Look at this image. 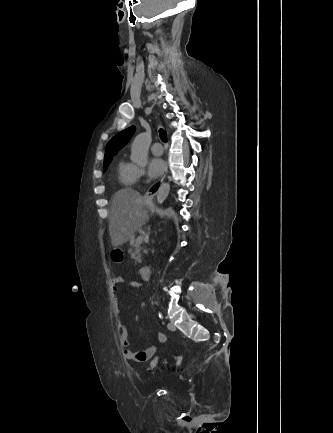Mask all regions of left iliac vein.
I'll return each mask as SVG.
<instances>
[{"instance_id": "obj_1", "label": "left iliac vein", "mask_w": 333, "mask_h": 433, "mask_svg": "<svg viewBox=\"0 0 333 433\" xmlns=\"http://www.w3.org/2000/svg\"><path fill=\"white\" fill-rule=\"evenodd\" d=\"M167 326H168V329L171 330V331H175L176 330V327H175V325L172 322H169Z\"/></svg>"}]
</instances>
